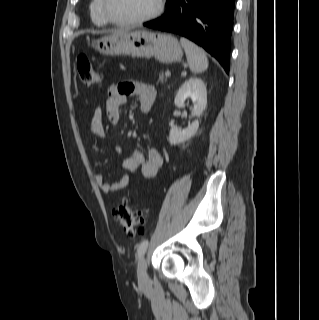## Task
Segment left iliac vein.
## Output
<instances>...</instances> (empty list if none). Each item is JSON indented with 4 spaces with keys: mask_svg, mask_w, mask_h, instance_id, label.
I'll use <instances>...</instances> for the list:
<instances>
[{
    "mask_svg": "<svg viewBox=\"0 0 319 320\" xmlns=\"http://www.w3.org/2000/svg\"><path fill=\"white\" fill-rule=\"evenodd\" d=\"M138 282L141 286L147 285L149 283L145 258H142L138 264Z\"/></svg>",
    "mask_w": 319,
    "mask_h": 320,
    "instance_id": "1",
    "label": "left iliac vein"
}]
</instances>
